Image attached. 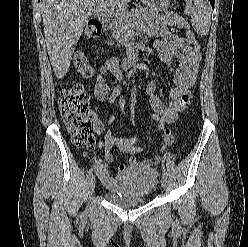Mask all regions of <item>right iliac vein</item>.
<instances>
[{
  "label": "right iliac vein",
  "mask_w": 248,
  "mask_h": 247,
  "mask_svg": "<svg viewBox=\"0 0 248 247\" xmlns=\"http://www.w3.org/2000/svg\"><path fill=\"white\" fill-rule=\"evenodd\" d=\"M95 186H96L95 177L92 176L90 178V180H89V183H88V194H89V196H91L94 193Z\"/></svg>",
  "instance_id": "right-iliac-vein-1"
}]
</instances>
